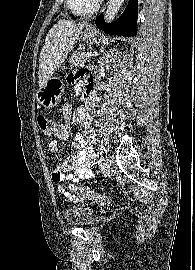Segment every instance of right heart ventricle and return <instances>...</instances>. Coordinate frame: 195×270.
<instances>
[{
  "label": "right heart ventricle",
  "instance_id": "right-heart-ventricle-1",
  "mask_svg": "<svg viewBox=\"0 0 195 270\" xmlns=\"http://www.w3.org/2000/svg\"><path fill=\"white\" fill-rule=\"evenodd\" d=\"M67 5L76 16L90 15L97 8L96 0H67Z\"/></svg>",
  "mask_w": 195,
  "mask_h": 270
}]
</instances>
